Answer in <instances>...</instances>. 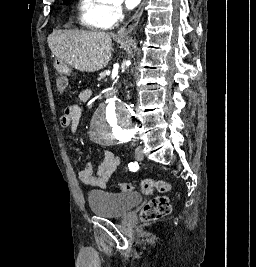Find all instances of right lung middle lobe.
Instances as JSON below:
<instances>
[{
	"label": "right lung middle lobe",
	"instance_id": "right-lung-middle-lobe-1",
	"mask_svg": "<svg viewBox=\"0 0 256 267\" xmlns=\"http://www.w3.org/2000/svg\"><path fill=\"white\" fill-rule=\"evenodd\" d=\"M69 1H70V0H66L64 3H65V4H69Z\"/></svg>",
	"mask_w": 256,
	"mask_h": 267
}]
</instances>
